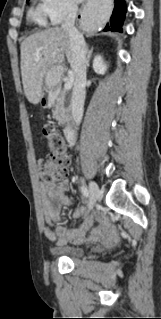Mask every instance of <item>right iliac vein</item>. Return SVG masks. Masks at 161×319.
<instances>
[{
    "label": "right iliac vein",
    "instance_id": "obj_1",
    "mask_svg": "<svg viewBox=\"0 0 161 319\" xmlns=\"http://www.w3.org/2000/svg\"><path fill=\"white\" fill-rule=\"evenodd\" d=\"M100 194L98 185L95 182L90 183V203L89 210H91Z\"/></svg>",
    "mask_w": 161,
    "mask_h": 319
}]
</instances>
